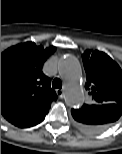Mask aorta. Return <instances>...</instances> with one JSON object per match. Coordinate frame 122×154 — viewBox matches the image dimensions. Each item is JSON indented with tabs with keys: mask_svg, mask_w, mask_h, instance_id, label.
<instances>
[{
	"mask_svg": "<svg viewBox=\"0 0 122 154\" xmlns=\"http://www.w3.org/2000/svg\"><path fill=\"white\" fill-rule=\"evenodd\" d=\"M58 70L65 82L66 103L71 107L80 106L83 103L84 93L81 84V68L78 60L73 56L61 58Z\"/></svg>",
	"mask_w": 122,
	"mask_h": 154,
	"instance_id": "obj_1",
	"label": "aorta"
}]
</instances>
